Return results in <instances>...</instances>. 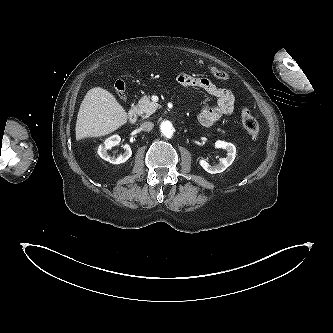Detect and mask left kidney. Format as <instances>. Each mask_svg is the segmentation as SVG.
I'll return each instance as SVG.
<instances>
[{"instance_id":"1","label":"left kidney","mask_w":333,"mask_h":333,"mask_svg":"<svg viewBox=\"0 0 333 333\" xmlns=\"http://www.w3.org/2000/svg\"><path fill=\"white\" fill-rule=\"evenodd\" d=\"M215 148H222L225 149L227 152L226 158H220L219 159V165L217 166H211L206 160L201 159L199 161L200 166L207 171L210 174H216V173H221L228 166L232 164L236 157V147L232 143H228L225 141L217 140L215 142Z\"/></svg>"}]
</instances>
